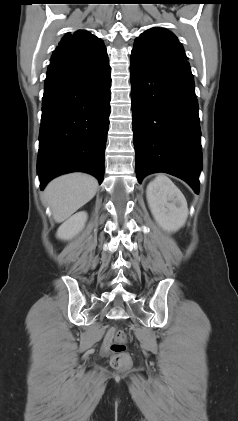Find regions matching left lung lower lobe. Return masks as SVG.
Returning a JSON list of instances; mask_svg holds the SVG:
<instances>
[{
	"label": "left lung lower lobe",
	"instance_id": "0a47b994",
	"mask_svg": "<svg viewBox=\"0 0 238 421\" xmlns=\"http://www.w3.org/2000/svg\"><path fill=\"white\" fill-rule=\"evenodd\" d=\"M131 100L139 183L156 172L186 181L198 194L201 132L187 58L149 59L131 53Z\"/></svg>",
	"mask_w": 238,
	"mask_h": 421
}]
</instances>
